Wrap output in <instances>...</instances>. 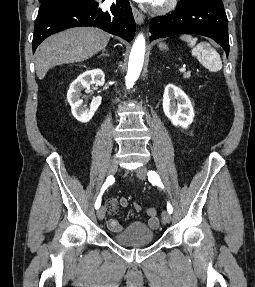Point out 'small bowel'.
I'll list each match as a JSON object with an SVG mask.
<instances>
[{
  "label": "small bowel",
  "instance_id": "1",
  "mask_svg": "<svg viewBox=\"0 0 255 287\" xmlns=\"http://www.w3.org/2000/svg\"><path fill=\"white\" fill-rule=\"evenodd\" d=\"M127 207L128 206V200L125 197L120 198L119 200L111 199L107 203V211L110 215H113L116 213L118 207ZM135 209L137 211L141 210V207L138 204H135ZM108 228L113 231L117 232L120 229H122L121 224L115 220L110 219L107 223ZM148 225L152 228H157L159 226V219L156 217H150L148 220Z\"/></svg>",
  "mask_w": 255,
  "mask_h": 287
}]
</instances>
